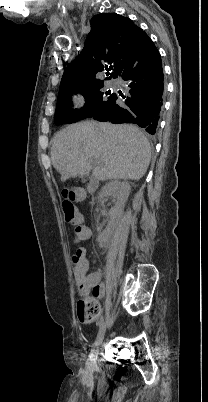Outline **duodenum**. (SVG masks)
Returning <instances> with one entry per match:
<instances>
[{"label": "duodenum", "mask_w": 208, "mask_h": 402, "mask_svg": "<svg viewBox=\"0 0 208 402\" xmlns=\"http://www.w3.org/2000/svg\"><path fill=\"white\" fill-rule=\"evenodd\" d=\"M87 184H88V190L89 192H93L95 189V181L91 178L86 179Z\"/></svg>", "instance_id": "obj_1"}]
</instances>
